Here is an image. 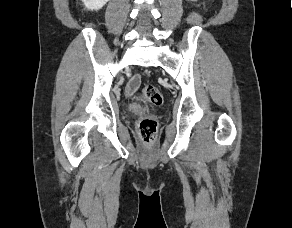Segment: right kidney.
Instances as JSON below:
<instances>
[{"label":"right kidney","instance_id":"right-kidney-1","mask_svg":"<svg viewBox=\"0 0 292 228\" xmlns=\"http://www.w3.org/2000/svg\"><path fill=\"white\" fill-rule=\"evenodd\" d=\"M109 0H82L85 7L89 10L101 9Z\"/></svg>","mask_w":292,"mask_h":228}]
</instances>
